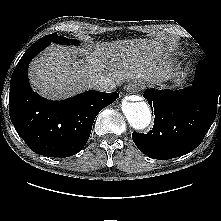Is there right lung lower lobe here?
<instances>
[{"label":"right lung lower lobe","mask_w":221,"mask_h":221,"mask_svg":"<svg viewBox=\"0 0 221 221\" xmlns=\"http://www.w3.org/2000/svg\"><path fill=\"white\" fill-rule=\"evenodd\" d=\"M50 40L41 38L22 56L10 82L9 114L28 147L49 157H69L83 149L98 113L119 94L87 91L63 101H50L34 92L28 65Z\"/></svg>","instance_id":"right-lung-lower-lobe-1"}]
</instances>
